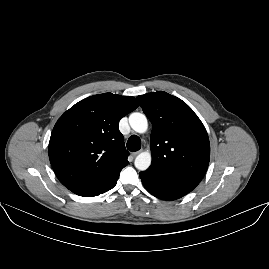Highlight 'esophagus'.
Masks as SVG:
<instances>
[{"mask_svg":"<svg viewBox=\"0 0 269 269\" xmlns=\"http://www.w3.org/2000/svg\"><path fill=\"white\" fill-rule=\"evenodd\" d=\"M140 153V150L139 151H136V152H133V153H131V156L133 157V158H135L138 154Z\"/></svg>","mask_w":269,"mask_h":269,"instance_id":"esophagus-1","label":"esophagus"}]
</instances>
